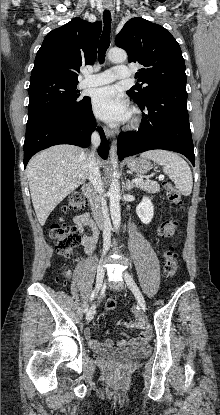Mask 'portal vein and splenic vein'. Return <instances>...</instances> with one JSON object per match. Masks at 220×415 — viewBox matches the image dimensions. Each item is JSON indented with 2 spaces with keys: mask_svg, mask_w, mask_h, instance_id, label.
Here are the masks:
<instances>
[{
  "mask_svg": "<svg viewBox=\"0 0 220 415\" xmlns=\"http://www.w3.org/2000/svg\"><path fill=\"white\" fill-rule=\"evenodd\" d=\"M163 178H164L163 175L159 176V179H163ZM142 181H144L143 178H135V179L132 180L133 183H138V182H142Z\"/></svg>",
  "mask_w": 220,
  "mask_h": 415,
  "instance_id": "1",
  "label": "portal vein and splenic vein"
}]
</instances>
